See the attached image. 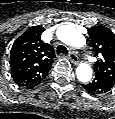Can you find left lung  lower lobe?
<instances>
[{"label":"left lung lower lobe","mask_w":115,"mask_h":119,"mask_svg":"<svg viewBox=\"0 0 115 119\" xmlns=\"http://www.w3.org/2000/svg\"><path fill=\"white\" fill-rule=\"evenodd\" d=\"M115 85V82L111 81L109 78L95 73V78L88 84H82V87L89 94H106Z\"/></svg>","instance_id":"obj_1"}]
</instances>
